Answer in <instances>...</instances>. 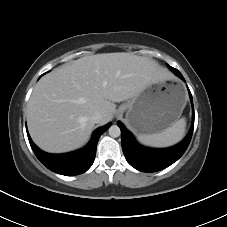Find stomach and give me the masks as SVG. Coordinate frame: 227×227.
Instances as JSON below:
<instances>
[{
  "label": "stomach",
  "mask_w": 227,
  "mask_h": 227,
  "mask_svg": "<svg viewBox=\"0 0 227 227\" xmlns=\"http://www.w3.org/2000/svg\"><path fill=\"white\" fill-rule=\"evenodd\" d=\"M186 94L180 84L157 82L119 108L126 111L125 123L136 134L160 133L181 116Z\"/></svg>",
  "instance_id": "0dacf381"
}]
</instances>
